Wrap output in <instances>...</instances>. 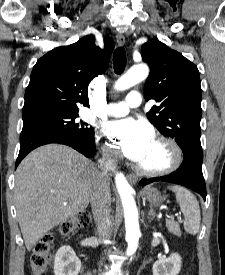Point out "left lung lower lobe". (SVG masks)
<instances>
[{
	"instance_id": "1",
	"label": "left lung lower lobe",
	"mask_w": 225,
	"mask_h": 275,
	"mask_svg": "<svg viewBox=\"0 0 225 275\" xmlns=\"http://www.w3.org/2000/svg\"><path fill=\"white\" fill-rule=\"evenodd\" d=\"M183 151L184 159L181 166L173 173L152 179H142L139 185L145 186L146 184L154 181L170 182L186 186L197 193H199L204 200L206 199V186L202 174L203 153L202 148L198 146L188 147Z\"/></svg>"
}]
</instances>
